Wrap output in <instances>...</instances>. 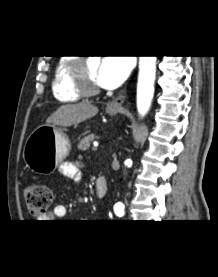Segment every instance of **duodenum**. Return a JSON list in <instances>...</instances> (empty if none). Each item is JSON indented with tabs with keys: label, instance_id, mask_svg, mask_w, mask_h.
<instances>
[{
	"label": "duodenum",
	"instance_id": "duodenum-1",
	"mask_svg": "<svg viewBox=\"0 0 218 277\" xmlns=\"http://www.w3.org/2000/svg\"><path fill=\"white\" fill-rule=\"evenodd\" d=\"M108 190V183L104 178H98L95 182V191L99 198H103Z\"/></svg>",
	"mask_w": 218,
	"mask_h": 277
}]
</instances>
